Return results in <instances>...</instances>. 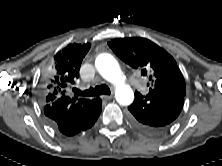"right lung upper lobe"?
I'll return each mask as SVG.
<instances>
[{
	"label": "right lung upper lobe",
	"instance_id": "1",
	"mask_svg": "<svg viewBox=\"0 0 222 166\" xmlns=\"http://www.w3.org/2000/svg\"><path fill=\"white\" fill-rule=\"evenodd\" d=\"M90 44H69L54 56L48 74L44 91L45 94L51 93L55 96H66V90L71 84H74L75 79L79 77V70L83 58L90 49ZM71 98V97H70ZM81 107H84L86 101L91 99L72 98Z\"/></svg>",
	"mask_w": 222,
	"mask_h": 166
}]
</instances>
